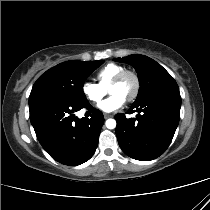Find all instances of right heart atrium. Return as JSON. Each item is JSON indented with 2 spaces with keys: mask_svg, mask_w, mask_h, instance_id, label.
<instances>
[{
  "mask_svg": "<svg viewBox=\"0 0 210 210\" xmlns=\"http://www.w3.org/2000/svg\"><path fill=\"white\" fill-rule=\"evenodd\" d=\"M81 93L89 103L96 104L103 98L105 90L98 84L86 80L81 84Z\"/></svg>",
  "mask_w": 210,
  "mask_h": 210,
  "instance_id": "d8ad5b80",
  "label": "right heart atrium"
}]
</instances>
